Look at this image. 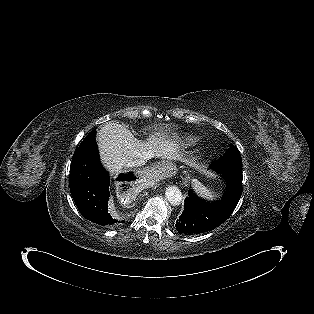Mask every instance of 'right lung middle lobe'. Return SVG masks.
Returning a JSON list of instances; mask_svg holds the SVG:
<instances>
[{"label":"right lung middle lobe","mask_w":314,"mask_h":314,"mask_svg":"<svg viewBox=\"0 0 314 314\" xmlns=\"http://www.w3.org/2000/svg\"><path fill=\"white\" fill-rule=\"evenodd\" d=\"M96 136V130L91 131L86 137L85 139L81 142L79 147H84L88 144H90L91 142H93V140L95 139Z\"/></svg>","instance_id":"right-lung-middle-lobe-1"}]
</instances>
